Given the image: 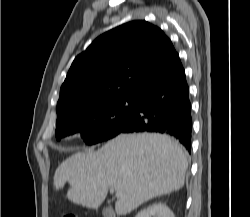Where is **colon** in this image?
<instances>
[{
  "label": "colon",
  "instance_id": "obj_1",
  "mask_svg": "<svg viewBox=\"0 0 250 217\" xmlns=\"http://www.w3.org/2000/svg\"><path fill=\"white\" fill-rule=\"evenodd\" d=\"M63 217H76L74 214H71V213H67L65 214Z\"/></svg>",
  "mask_w": 250,
  "mask_h": 217
}]
</instances>
